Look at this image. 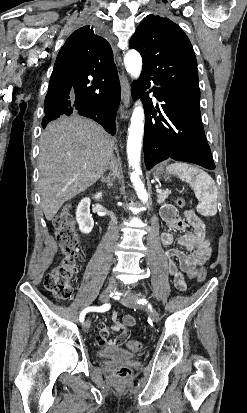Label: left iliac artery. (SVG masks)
I'll return each mask as SVG.
<instances>
[{"label": "left iliac artery", "mask_w": 247, "mask_h": 413, "mask_svg": "<svg viewBox=\"0 0 247 413\" xmlns=\"http://www.w3.org/2000/svg\"><path fill=\"white\" fill-rule=\"evenodd\" d=\"M138 304L144 305V304H147V301H146V299H140V300H138Z\"/></svg>", "instance_id": "obj_1"}]
</instances>
